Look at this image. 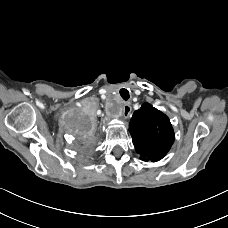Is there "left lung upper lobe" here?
I'll list each match as a JSON object with an SVG mask.
<instances>
[{
    "mask_svg": "<svg viewBox=\"0 0 228 228\" xmlns=\"http://www.w3.org/2000/svg\"><path fill=\"white\" fill-rule=\"evenodd\" d=\"M129 131L143 161L156 162L162 159L175 139L169 118L148 103L133 113Z\"/></svg>",
    "mask_w": 228,
    "mask_h": 228,
    "instance_id": "5c2ea615",
    "label": "left lung upper lobe"
}]
</instances>
